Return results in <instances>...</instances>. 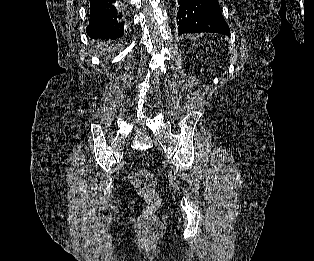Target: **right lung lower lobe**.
<instances>
[{"label":"right lung lower lobe","mask_w":314,"mask_h":261,"mask_svg":"<svg viewBox=\"0 0 314 261\" xmlns=\"http://www.w3.org/2000/svg\"><path fill=\"white\" fill-rule=\"evenodd\" d=\"M121 0H90V19L86 32L90 38L113 45L123 36L124 28L119 2Z\"/></svg>","instance_id":"1"}]
</instances>
